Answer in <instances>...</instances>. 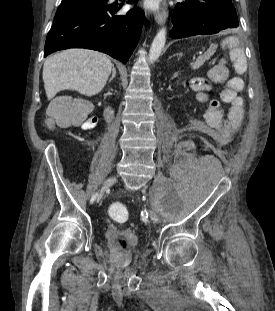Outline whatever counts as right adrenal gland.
Wrapping results in <instances>:
<instances>
[{"label": "right adrenal gland", "instance_id": "obj_1", "mask_svg": "<svg viewBox=\"0 0 275 311\" xmlns=\"http://www.w3.org/2000/svg\"><path fill=\"white\" fill-rule=\"evenodd\" d=\"M115 77H116V68H115L114 64H112V75L109 79V82H111Z\"/></svg>", "mask_w": 275, "mask_h": 311}]
</instances>
